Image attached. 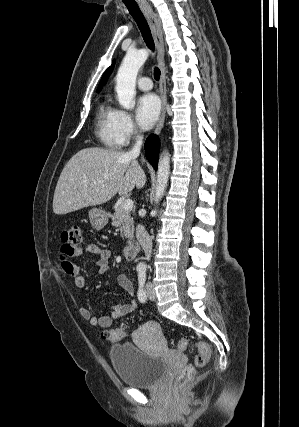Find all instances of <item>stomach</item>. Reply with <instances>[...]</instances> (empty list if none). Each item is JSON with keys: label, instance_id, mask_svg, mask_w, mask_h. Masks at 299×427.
<instances>
[{"label": "stomach", "instance_id": "obj_1", "mask_svg": "<svg viewBox=\"0 0 299 427\" xmlns=\"http://www.w3.org/2000/svg\"><path fill=\"white\" fill-rule=\"evenodd\" d=\"M88 215L91 225L96 229H101L108 223L107 213L102 209L92 208Z\"/></svg>", "mask_w": 299, "mask_h": 427}]
</instances>
